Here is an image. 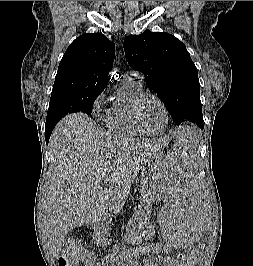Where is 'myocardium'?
Instances as JSON below:
<instances>
[{
  "label": "myocardium",
  "instance_id": "obj_1",
  "mask_svg": "<svg viewBox=\"0 0 253 266\" xmlns=\"http://www.w3.org/2000/svg\"><path fill=\"white\" fill-rule=\"evenodd\" d=\"M147 98L155 99L163 109V112L165 115V125L160 131L147 130L141 123L140 116H139V109H140L141 103ZM131 117H132V121H133L135 127L143 135H150V136H159V135L164 134L166 132V130L168 129L169 122H170L169 112H168V108H167L165 102L157 94L151 93V92H142L141 94H139L138 96H136L134 98V100L131 104Z\"/></svg>",
  "mask_w": 253,
  "mask_h": 266
}]
</instances>
